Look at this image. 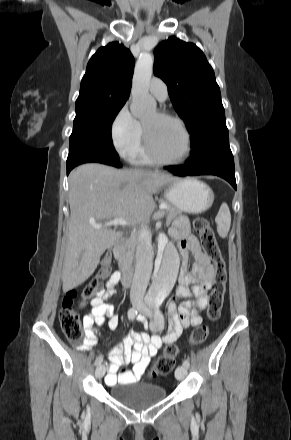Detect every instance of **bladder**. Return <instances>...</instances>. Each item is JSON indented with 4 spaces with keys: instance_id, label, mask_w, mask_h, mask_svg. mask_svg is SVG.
Here are the masks:
<instances>
[{
    "instance_id": "obj_1",
    "label": "bladder",
    "mask_w": 291,
    "mask_h": 440,
    "mask_svg": "<svg viewBox=\"0 0 291 440\" xmlns=\"http://www.w3.org/2000/svg\"><path fill=\"white\" fill-rule=\"evenodd\" d=\"M111 397L129 407H145L165 399L166 390L160 385L133 380L111 387Z\"/></svg>"
}]
</instances>
